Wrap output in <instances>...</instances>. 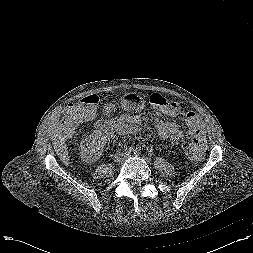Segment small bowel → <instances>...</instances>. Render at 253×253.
<instances>
[{
	"mask_svg": "<svg viewBox=\"0 0 253 253\" xmlns=\"http://www.w3.org/2000/svg\"><path fill=\"white\" fill-rule=\"evenodd\" d=\"M138 121L139 120L136 117H132L126 114L122 115L120 118V122L122 124L128 125L132 132L138 131V126H137ZM155 125L159 131L161 138L164 140H170L171 142L175 143L182 136V133L179 130L178 126L172 121L156 120ZM64 133L66 132L64 131Z\"/></svg>",
	"mask_w": 253,
	"mask_h": 253,
	"instance_id": "1",
	"label": "small bowel"
}]
</instances>
